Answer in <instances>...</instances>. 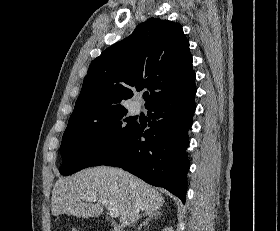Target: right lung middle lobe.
<instances>
[{
    "mask_svg": "<svg viewBox=\"0 0 280 231\" xmlns=\"http://www.w3.org/2000/svg\"><path fill=\"white\" fill-rule=\"evenodd\" d=\"M126 114L124 110L100 118L69 120L60 148V173L66 176L102 165L136 126Z\"/></svg>",
    "mask_w": 280,
    "mask_h": 231,
    "instance_id": "1",
    "label": "right lung middle lobe"
}]
</instances>
